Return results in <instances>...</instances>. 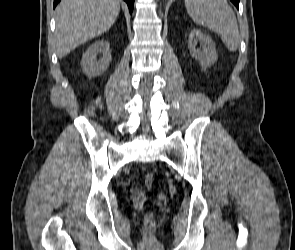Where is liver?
Listing matches in <instances>:
<instances>
[{
    "instance_id": "liver-1",
    "label": "liver",
    "mask_w": 295,
    "mask_h": 250,
    "mask_svg": "<svg viewBox=\"0 0 295 250\" xmlns=\"http://www.w3.org/2000/svg\"><path fill=\"white\" fill-rule=\"evenodd\" d=\"M119 11V0H62L56 9V48L59 58L109 30Z\"/></svg>"
}]
</instances>
